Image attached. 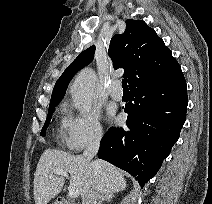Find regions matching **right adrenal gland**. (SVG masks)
Wrapping results in <instances>:
<instances>
[{"mask_svg":"<svg viewBox=\"0 0 212 204\" xmlns=\"http://www.w3.org/2000/svg\"><path fill=\"white\" fill-rule=\"evenodd\" d=\"M113 197H114L113 194H107V193L101 194V195L99 196L98 204H102V202H104V201L110 202V201L112 200Z\"/></svg>","mask_w":212,"mask_h":204,"instance_id":"obj_1","label":"right adrenal gland"}]
</instances>
